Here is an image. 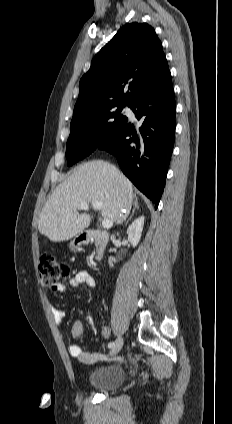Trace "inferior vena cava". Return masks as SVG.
<instances>
[{
	"instance_id": "obj_1",
	"label": "inferior vena cava",
	"mask_w": 232,
	"mask_h": 424,
	"mask_svg": "<svg viewBox=\"0 0 232 424\" xmlns=\"http://www.w3.org/2000/svg\"><path fill=\"white\" fill-rule=\"evenodd\" d=\"M131 205H132V199L130 198L126 208L122 211L120 218L117 220V224H121L126 219V217L128 216L130 212Z\"/></svg>"
}]
</instances>
